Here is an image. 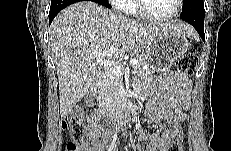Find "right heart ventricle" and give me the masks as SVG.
<instances>
[{
    "mask_svg": "<svg viewBox=\"0 0 231 151\" xmlns=\"http://www.w3.org/2000/svg\"><path fill=\"white\" fill-rule=\"evenodd\" d=\"M132 16H136V11L134 6L132 5V2H128V11Z\"/></svg>",
    "mask_w": 231,
    "mask_h": 151,
    "instance_id": "e07e8e85",
    "label": "right heart ventricle"
}]
</instances>
